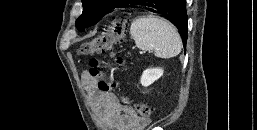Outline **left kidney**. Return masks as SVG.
<instances>
[{"instance_id": "left-kidney-1", "label": "left kidney", "mask_w": 257, "mask_h": 130, "mask_svg": "<svg viewBox=\"0 0 257 130\" xmlns=\"http://www.w3.org/2000/svg\"><path fill=\"white\" fill-rule=\"evenodd\" d=\"M163 75L161 68L146 69L141 76V84L144 87L151 85L154 81L158 80Z\"/></svg>"}]
</instances>
